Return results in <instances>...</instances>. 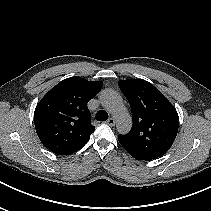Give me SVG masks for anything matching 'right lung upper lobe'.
<instances>
[{"instance_id":"right-lung-upper-lobe-1","label":"right lung upper lobe","mask_w":211,"mask_h":211,"mask_svg":"<svg viewBox=\"0 0 211 211\" xmlns=\"http://www.w3.org/2000/svg\"><path fill=\"white\" fill-rule=\"evenodd\" d=\"M101 86V81L71 77L62 80L41 99L34 112V123L47 149L57 155H70L88 142L95 127L90 123L87 102Z\"/></svg>"}]
</instances>
